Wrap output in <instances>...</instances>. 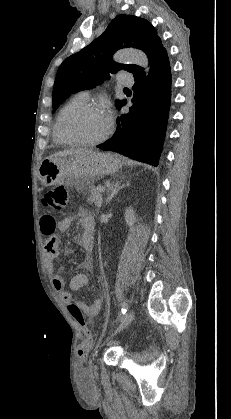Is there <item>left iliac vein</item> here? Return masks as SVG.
Wrapping results in <instances>:
<instances>
[{"label":"left iliac vein","instance_id":"4c4485c4","mask_svg":"<svg viewBox=\"0 0 231 419\" xmlns=\"http://www.w3.org/2000/svg\"><path fill=\"white\" fill-rule=\"evenodd\" d=\"M134 318H135V311H131L128 314H126L124 318L122 319L121 323L116 327V329L112 333L111 337H113L120 331L124 330L128 325L131 324Z\"/></svg>","mask_w":231,"mask_h":419}]
</instances>
